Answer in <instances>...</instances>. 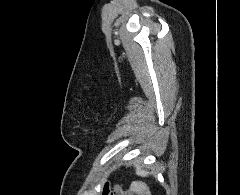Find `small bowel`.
<instances>
[{
  "instance_id": "small-bowel-1",
  "label": "small bowel",
  "mask_w": 240,
  "mask_h": 195,
  "mask_svg": "<svg viewBox=\"0 0 240 195\" xmlns=\"http://www.w3.org/2000/svg\"><path fill=\"white\" fill-rule=\"evenodd\" d=\"M121 195H151L146 186H130V188Z\"/></svg>"
}]
</instances>
